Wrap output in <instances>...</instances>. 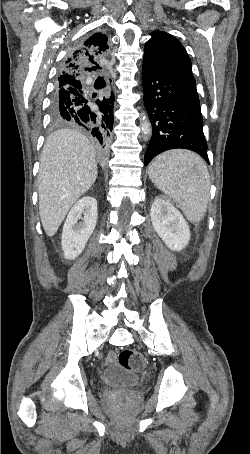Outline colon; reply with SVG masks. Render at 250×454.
<instances>
[{"mask_svg":"<svg viewBox=\"0 0 250 454\" xmlns=\"http://www.w3.org/2000/svg\"><path fill=\"white\" fill-rule=\"evenodd\" d=\"M118 360L123 368L133 372L142 371L146 364L144 356L133 349L122 350L119 353Z\"/></svg>","mask_w":250,"mask_h":454,"instance_id":"colon-1","label":"colon"}]
</instances>
